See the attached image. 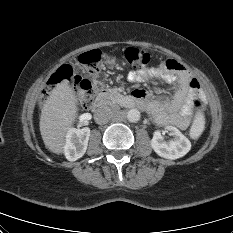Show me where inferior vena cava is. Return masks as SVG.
<instances>
[{
  "label": "inferior vena cava",
  "mask_w": 233,
  "mask_h": 233,
  "mask_svg": "<svg viewBox=\"0 0 233 233\" xmlns=\"http://www.w3.org/2000/svg\"><path fill=\"white\" fill-rule=\"evenodd\" d=\"M113 115L114 113L112 109L107 105H103L95 110L94 119L97 124L102 125L108 123L113 117Z\"/></svg>",
  "instance_id": "1"
}]
</instances>
